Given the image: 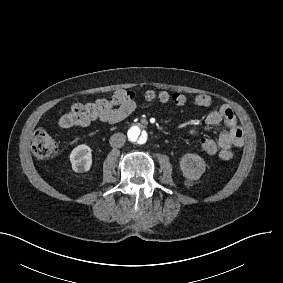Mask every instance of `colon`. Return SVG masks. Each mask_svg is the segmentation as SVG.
I'll list each match as a JSON object with an SVG mask.
<instances>
[{"label": "colon", "instance_id": "obj_1", "mask_svg": "<svg viewBox=\"0 0 283 283\" xmlns=\"http://www.w3.org/2000/svg\"><path fill=\"white\" fill-rule=\"evenodd\" d=\"M144 98L149 102L173 103L181 106L185 103V97L182 94H171L169 92L147 91ZM117 101L128 106L126 113H130L133 104L136 102L135 93L126 91L116 97ZM108 100L99 99L92 103H81L74 105L60 120L59 126L62 128L79 127L90 124L97 120L104 109L107 108ZM200 149L206 154L213 155L218 152V147L210 137H203L199 143ZM32 150L40 159H46L52 156L57 150V143L53 136L46 130L37 131L32 141Z\"/></svg>", "mask_w": 283, "mask_h": 283}]
</instances>
